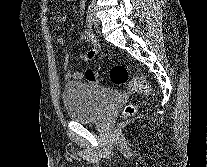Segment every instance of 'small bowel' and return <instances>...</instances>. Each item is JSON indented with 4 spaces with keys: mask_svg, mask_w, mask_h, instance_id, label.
<instances>
[{
    "mask_svg": "<svg viewBox=\"0 0 207 167\" xmlns=\"http://www.w3.org/2000/svg\"><path fill=\"white\" fill-rule=\"evenodd\" d=\"M83 10H84V4L81 1L79 3V12L82 14ZM67 19L68 18L66 15H57L55 17V21L58 24L66 23ZM81 39L88 43V48L85 53L80 55V59L85 62H89V61L93 60L94 57L96 56V54L99 50V44H98L94 34L90 30H84L81 33ZM56 40H57L58 45L61 47V49L63 51V68L65 71V78L67 80L83 78L84 73L82 71H80V70L72 71L69 69L70 60H69V54L67 52L64 39L61 36H57Z\"/></svg>",
    "mask_w": 207,
    "mask_h": 167,
    "instance_id": "1",
    "label": "small bowel"
}]
</instances>
